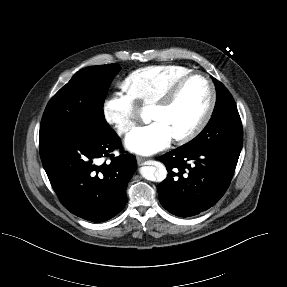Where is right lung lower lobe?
Here are the masks:
<instances>
[{
    "instance_id": "98d812e1",
    "label": "right lung lower lobe",
    "mask_w": 287,
    "mask_h": 287,
    "mask_svg": "<svg viewBox=\"0 0 287 287\" xmlns=\"http://www.w3.org/2000/svg\"><path fill=\"white\" fill-rule=\"evenodd\" d=\"M120 146L121 141L111 128L89 138L40 145L50 183L71 213L92 222H103L124 208L136 159L128 153L119 157L110 154ZM107 156L111 161L98 166L97 160Z\"/></svg>"
}]
</instances>
